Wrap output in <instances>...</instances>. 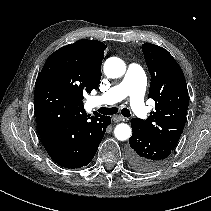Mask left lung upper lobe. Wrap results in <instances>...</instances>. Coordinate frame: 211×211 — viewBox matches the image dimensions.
Listing matches in <instances>:
<instances>
[{
    "label": "left lung upper lobe",
    "instance_id": "obj_1",
    "mask_svg": "<svg viewBox=\"0 0 211 211\" xmlns=\"http://www.w3.org/2000/svg\"><path fill=\"white\" fill-rule=\"evenodd\" d=\"M151 74L148 98L155 101V111L146 120L134 118L152 137L174 150L185 126L189 97L180 66L170 53L157 45H142Z\"/></svg>",
    "mask_w": 211,
    "mask_h": 211
}]
</instances>
